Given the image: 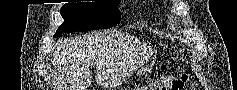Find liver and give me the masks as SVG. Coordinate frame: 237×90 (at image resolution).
<instances>
[{
	"label": "liver",
	"instance_id": "1",
	"mask_svg": "<svg viewBox=\"0 0 237 90\" xmlns=\"http://www.w3.org/2000/svg\"><path fill=\"white\" fill-rule=\"evenodd\" d=\"M113 44V38L106 34L58 40L53 54V66L59 74L58 90L90 88L93 66L105 64L114 56Z\"/></svg>",
	"mask_w": 237,
	"mask_h": 90
}]
</instances>
